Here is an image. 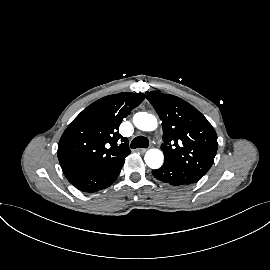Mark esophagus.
I'll return each instance as SVG.
<instances>
[{
	"mask_svg": "<svg viewBox=\"0 0 270 270\" xmlns=\"http://www.w3.org/2000/svg\"><path fill=\"white\" fill-rule=\"evenodd\" d=\"M146 150H147V149H145V148H140V149H138V152H139V153H145Z\"/></svg>",
	"mask_w": 270,
	"mask_h": 270,
	"instance_id": "34e87169",
	"label": "esophagus"
}]
</instances>
